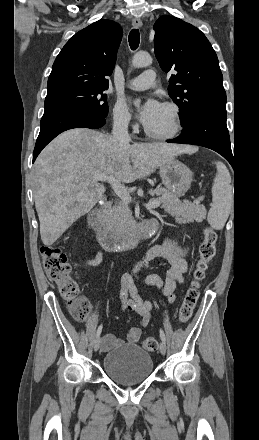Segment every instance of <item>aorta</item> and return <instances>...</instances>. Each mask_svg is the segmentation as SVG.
Here are the masks:
<instances>
[{"mask_svg": "<svg viewBox=\"0 0 259 440\" xmlns=\"http://www.w3.org/2000/svg\"><path fill=\"white\" fill-rule=\"evenodd\" d=\"M152 64V57L147 53H136L132 59V66L135 68L147 67ZM135 106H139L140 100L134 102Z\"/></svg>", "mask_w": 259, "mask_h": 440, "instance_id": "obj_1", "label": "aorta"}]
</instances>
